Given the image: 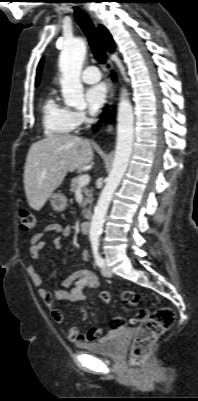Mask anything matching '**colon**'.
<instances>
[{"label": "colon", "instance_id": "obj_1", "mask_svg": "<svg viewBox=\"0 0 198 401\" xmlns=\"http://www.w3.org/2000/svg\"><path fill=\"white\" fill-rule=\"evenodd\" d=\"M20 229L24 232H32L37 229L38 222L34 214L27 210L18 212ZM122 300L129 306H137L139 295L134 291H124ZM136 320L139 322L133 343L130 348L129 362L133 368H139L145 364L155 343L161 335L170 329L175 321V313L170 307H159L154 311L140 309ZM123 317H115L109 322L112 329H120L126 325Z\"/></svg>", "mask_w": 198, "mask_h": 401}]
</instances>
